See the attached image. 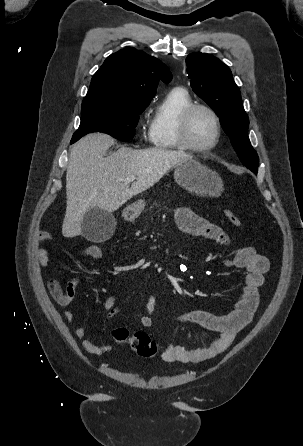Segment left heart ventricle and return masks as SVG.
Returning a JSON list of instances; mask_svg holds the SVG:
<instances>
[{
    "label": "left heart ventricle",
    "instance_id": "1",
    "mask_svg": "<svg viewBox=\"0 0 303 446\" xmlns=\"http://www.w3.org/2000/svg\"><path fill=\"white\" fill-rule=\"evenodd\" d=\"M215 125L211 116L204 110H196L189 122V138L196 146H207L215 138Z\"/></svg>",
    "mask_w": 303,
    "mask_h": 446
}]
</instances>
